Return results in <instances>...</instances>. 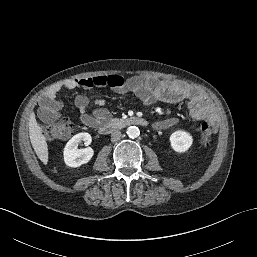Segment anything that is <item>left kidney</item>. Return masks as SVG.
<instances>
[{
  "mask_svg": "<svg viewBox=\"0 0 257 257\" xmlns=\"http://www.w3.org/2000/svg\"><path fill=\"white\" fill-rule=\"evenodd\" d=\"M171 148L178 153L186 152L193 143L192 136L183 130H178L170 135Z\"/></svg>",
  "mask_w": 257,
  "mask_h": 257,
  "instance_id": "1",
  "label": "left kidney"
}]
</instances>
